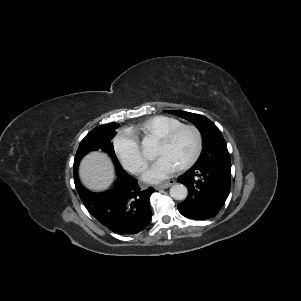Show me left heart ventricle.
<instances>
[{
    "label": "left heart ventricle",
    "instance_id": "1",
    "mask_svg": "<svg viewBox=\"0 0 301 301\" xmlns=\"http://www.w3.org/2000/svg\"><path fill=\"white\" fill-rule=\"evenodd\" d=\"M194 149L195 136L192 131L185 130L170 143L158 141L155 155L167 156L180 166L193 154Z\"/></svg>",
    "mask_w": 301,
    "mask_h": 301
}]
</instances>
